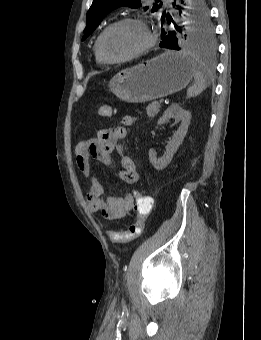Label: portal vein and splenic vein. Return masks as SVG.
<instances>
[{"mask_svg":"<svg viewBox=\"0 0 261 340\" xmlns=\"http://www.w3.org/2000/svg\"><path fill=\"white\" fill-rule=\"evenodd\" d=\"M164 102V99H160L159 103L162 104Z\"/></svg>","mask_w":261,"mask_h":340,"instance_id":"18ae733b","label":"portal vein and splenic vein"}]
</instances>
